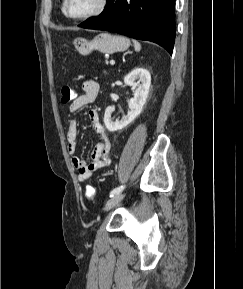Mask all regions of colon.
Masks as SVG:
<instances>
[{
  "mask_svg": "<svg viewBox=\"0 0 243 289\" xmlns=\"http://www.w3.org/2000/svg\"><path fill=\"white\" fill-rule=\"evenodd\" d=\"M75 98V91L70 86H63L61 89V101L63 103H69ZM85 196L88 200H94L96 196V190L93 186L88 185L85 189Z\"/></svg>",
  "mask_w": 243,
  "mask_h": 289,
  "instance_id": "obj_1",
  "label": "colon"
}]
</instances>
